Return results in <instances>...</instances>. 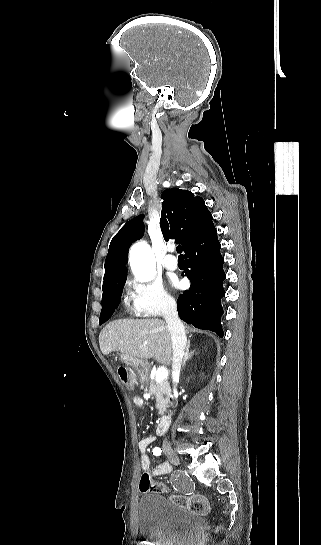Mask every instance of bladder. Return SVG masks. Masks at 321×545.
<instances>
[{"mask_svg":"<svg viewBox=\"0 0 321 545\" xmlns=\"http://www.w3.org/2000/svg\"><path fill=\"white\" fill-rule=\"evenodd\" d=\"M137 523L141 537L155 545H192L205 527L200 513L161 492L140 497Z\"/></svg>","mask_w":321,"mask_h":545,"instance_id":"1","label":"bladder"}]
</instances>
